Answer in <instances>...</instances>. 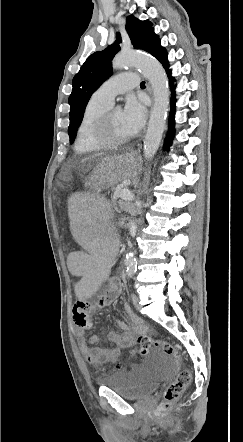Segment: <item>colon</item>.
Listing matches in <instances>:
<instances>
[{
    "instance_id": "5ec220e1",
    "label": "colon",
    "mask_w": 243,
    "mask_h": 442,
    "mask_svg": "<svg viewBox=\"0 0 243 442\" xmlns=\"http://www.w3.org/2000/svg\"><path fill=\"white\" fill-rule=\"evenodd\" d=\"M114 218L117 221H112V224H117V227L119 229L127 228L143 230L146 227L145 222H137L136 217H129L127 213H120L119 215L117 214ZM82 324L84 323L82 322ZM138 343L140 345L139 352L142 356L147 355L153 347H159L163 350L164 353L171 355L178 360L183 359L181 351L166 340L154 339L148 335H140L138 337ZM117 368H120V366H117ZM190 382L191 373L188 370L184 369L180 371L175 380L169 384L164 392V402L162 406L163 415L166 414L169 406L180 398Z\"/></svg>"
}]
</instances>
